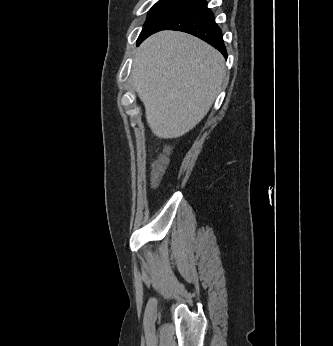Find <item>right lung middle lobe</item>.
Returning a JSON list of instances; mask_svg holds the SVG:
<instances>
[{
    "label": "right lung middle lobe",
    "instance_id": "obj_1",
    "mask_svg": "<svg viewBox=\"0 0 333 346\" xmlns=\"http://www.w3.org/2000/svg\"><path fill=\"white\" fill-rule=\"evenodd\" d=\"M188 0H159L148 14L138 41L163 29L184 7ZM137 41V42H138Z\"/></svg>",
    "mask_w": 333,
    "mask_h": 346
}]
</instances>
